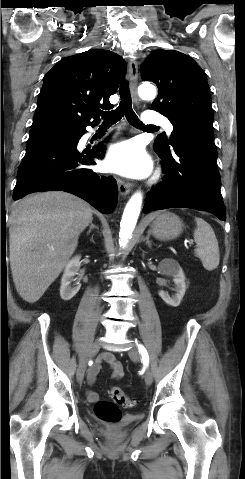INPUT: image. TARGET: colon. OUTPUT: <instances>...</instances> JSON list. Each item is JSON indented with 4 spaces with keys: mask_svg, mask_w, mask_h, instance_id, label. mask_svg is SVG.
Wrapping results in <instances>:
<instances>
[{
    "mask_svg": "<svg viewBox=\"0 0 245 479\" xmlns=\"http://www.w3.org/2000/svg\"><path fill=\"white\" fill-rule=\"evenodd\" d=\"M110 395L112 400H99L95 405L94 412L99 420L105 423H116L121 419L119 407H133L136 400L117 387L111 388Z\"/></svg>",
    "mask_w": 245,
    "mask_h": 479,
    "instance_id": "1",
    "label": "colon"
}]
</instances>
